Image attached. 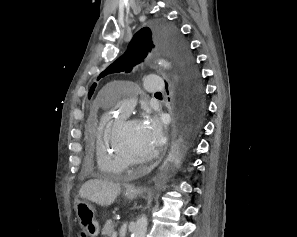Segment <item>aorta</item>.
Wrapping results in <instances>:
<instances>
[{
    "label": "aorta",
    "mask_w": 297,
    "mask_h": 237,
    "mask_svg": "<svg viewBox=\"0 0 297 237\" xmlns=\"http://www.w3.org/2000/svg\"><path fill=\"white\" fill-rule=\"evenodd\" d=\"M158 63L164 68L170 67V63H168L165 60H159ZM147 226H148V219L145 215H142L136 221V225H135V229L133 231L132 237H145L147 232Z\"/></svg>",
    "instance_id": "aorta-1"
}]
</instances>
